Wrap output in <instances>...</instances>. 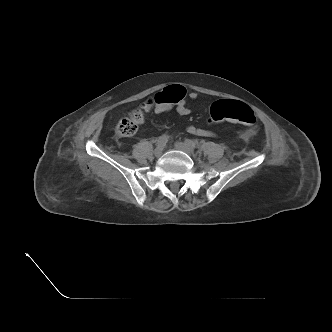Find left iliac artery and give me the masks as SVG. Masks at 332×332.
Returning a JSON list of instances; mask_svg holds the SVG:
<instances>
[{
	"label": "left iliac artery",
	"instance_id": "1",
	"mask_svg": "<svg viewBox=\"0 0 332 332\" xmlns=\"http://www.w3.org/2000/svg\"><path fill=\"white\" fill-rule=\"evenodd\" d=\"M185 143L191 146L192 148H196V143L190 139H186Z\"/></svg>",
	"mask_w": 332,
	"mask_h": 332
}]
</instances>
